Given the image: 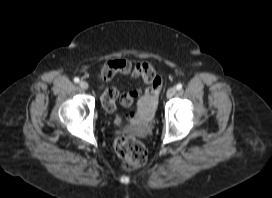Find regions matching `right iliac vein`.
<instances>
[{
    "label": "right iliac vein",
    "mask_w": 272,
    "mask_h": 198,
    "mask_svg": "<svg viewBox=\"0 0 272 198\" xmlns=\"http://www.w3.org/2000/svg\"><path fill=\"white\" fill-rule=\"evenodd\" d=\"M79 86L84 90H87L88 87H89L88 83L86 81H83V80L80 81Z\"/></svg>",
    "instance_id": "obj_1"
}]
</instances>
